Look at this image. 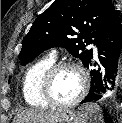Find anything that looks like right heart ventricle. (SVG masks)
<instances>
[{"instance_id":"1","label":"right heart ventricle","mask_w":122,"mask_h":123,"mask_svg":"<svg viewBox=\"0 0 122 123\" xmlns=\"http://www.w3.org/2000/svg\"><path fill=\"white\" fill-rule=\"evenodd\" d=\"M55 64V59L46 57L33 64L23 80V96L27 104L35 108H46L49 105L43 99L41 86L48 69Z\"/></svg>"}]
</instances>
